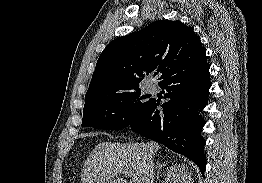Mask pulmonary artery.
Returning <instances> with one entry per match:
<instances>
[{
  "label": "pulmonary artery",
  "instance_id": "e3ab8cb5",
  "mask_svg": "<svg viewBox=\"0 0 262 183\" xmlns=\"http://www.w3.org/2000/svg\"><path fill=\"white\" fill-rule=\"evenodd\" d=\"M148 90H149V91H152V90H153V87H152V86H149V87H148Z\"/></svg>",
  "mask_w": 262,
  "mask_h": 183
}]
</instances>
